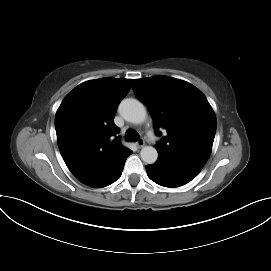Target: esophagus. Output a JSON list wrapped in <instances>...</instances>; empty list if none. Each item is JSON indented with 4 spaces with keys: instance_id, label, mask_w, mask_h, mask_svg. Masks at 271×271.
Masks as SVG:
<instances>
[{
    "instance_id": "obj_1",
    "label": "esophagus",
    "mask_w": 271,
    "mask_h": 271,
    "mask_svg": "<svg viewBox=\"0 0 271 271\" xmlns=\"http://www.w3.org/2000/svg\"><path fill=\"white\" fill-rule=\"evenodd\" d=\"M136 145L138 148H142L145 146V141L143 139H139L137 142H136Z\"/></svg>"
}]
</instances>
